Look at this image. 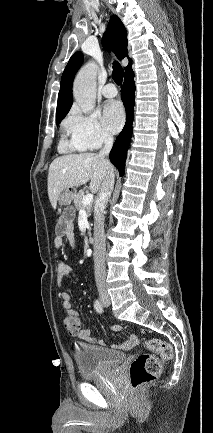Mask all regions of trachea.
<instances>
[{"label": "trachea", "instance_id": "1", "mask_svg": "<svg viewBox=\"0 0 213 433\" xmlns=\"http://www.w3.org/2000/svg\"><path fill=\"white\" fill-rule=\"evenodd\" d=\"M123 74H124V70L121 67V65L117 61H114L112 77L115 83H117L118 85H120L123 81Z\"/></svg>", "mask_w": 213, "mask_h": 433}]
</instances>
